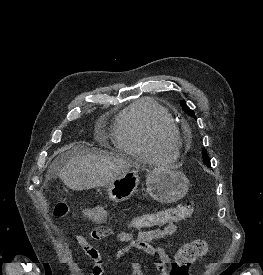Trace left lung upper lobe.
<instances>
[{"label": "left lung upper lobe", "mask_w": 263, "mask_h": 275, "mask_svg": "<svg viewBox=\"0 0 263 275\" xmlns=\"http://www.w3.org/2000/svg\"><path fill=\"white\" fill-rule=\"evenodd\" d=\"M181 105H182V108L184 109V111L187 114H189L190 116H192L195 119H197L196 116H195V114H194V112L191 109H189V107L185 104L184 100L181 101ZM202 155H203V162H204V164H206L208 167H211V164L209 162V158L207 156V153H206L205 149L202 150Z\"/></svg>", "instance_id": "left-lung-upper-lobe-1"}]
</instances>
